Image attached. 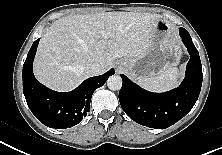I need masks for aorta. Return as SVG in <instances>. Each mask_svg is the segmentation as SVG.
<instances>
[{"label": "aorta", "mask_w": 222, "mask_h": 155, "mask_svg": "<svg viewBox=\"0 0 222 155\" xmlns=\"http://www.w3.org/2000/svg\"><path fill=\"white\" fill-rule=\"evenodd\" d=\"M107 86L113 91L120 90L122 87V78L118 75L110 76L107 80Z\"/></svg>", "instance_id": "762f6f07"}]
</instances>
